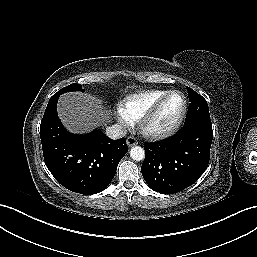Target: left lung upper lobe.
Segmentation results:
<instances>
[{"mask_svg":"<svg viewBox=\"0 0 257 257\" xmlns=\"http://www.w3.org/2000/svg\"><path fill=\"white\" fill-rule=\"evenodd\" d=\"M189 95V108L185 119V124L192 122H202L211 124L209 108L206 100L193 89L187 87Z\"/></svg>","mask_w":257,"mask_h":257,"instance_id":"left-lung-upper-lobe-1","label":"left lung upper lobe"}]
</instances>
